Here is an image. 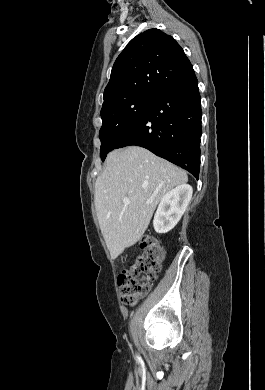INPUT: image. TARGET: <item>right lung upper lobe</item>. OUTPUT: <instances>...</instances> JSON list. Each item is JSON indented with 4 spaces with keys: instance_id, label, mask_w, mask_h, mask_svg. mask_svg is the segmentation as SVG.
Instances as JSON below:
<instances>
[{
    "instance_id": "1",
    "label": "right lung upper lobe",
    "mask_w": 265,
    "mask_h": 390,
    "mask_svg": "<svg viewBox=\"0 0 265 390\" xmlns=\"http://www.w3.org/2000/svg\"><path fill=\"white\" fill-rule=\"evenodd\" d=\"M191 66L172 36L149 29L134 37L116 59L102 108L136 94L157 95Z\"/></svg>"
}]
</instances>
